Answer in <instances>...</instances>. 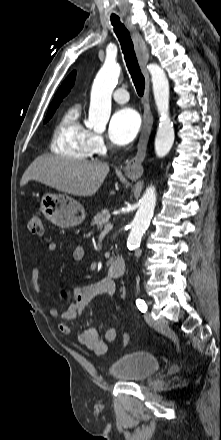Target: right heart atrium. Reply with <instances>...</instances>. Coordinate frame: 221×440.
Returning <instances> with one entry per match:
<instances>
[{"label":"right heart atrium","mask_w":221,"mask_h":440,"mask_svg":"<svg viewBox=\"0 0 221 440\" xmlns=\"http://www.w3.org/2000/svg\"><path fill=\"white\" fill-rule=\"evenodd\" d=\"M90 145L92 152L98 155L105 153V151L107 150V143L105 138L103 137V135L96 132H91Z\"/></svg>","instance_id":"right-heart-atrium-1"}]
</instances>
